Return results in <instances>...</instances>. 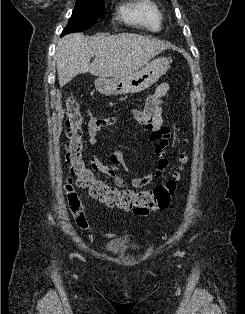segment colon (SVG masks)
I'll return each instance as SVG.
<instances>
[{
  "mask_svg": "<svg viewBox=\"0 0 245 314\" xmlns=\"http://www.w3.org/2000/svg\"><path fill=\"white\" fill-rule=\"evenodd\" d=\"M66 115L68 137L66 161L70 165V172L76 177V180L73 183L69 179L65 186V192L70 211L78 227L87 229L88 220L84 212V199L76 190V187L88 189L92 197L108 206L134 209V211L143 214L166 208L169 205L172 196L176 192L182 167L167 182L151 190L134 191L111 186L96 178L94 171L87 166L84 160L82 142L84 115L80 103L72 97H69L66 101ZM98 124L99 122H97ZM180 160L183 166L187 162V157L183 155Z\"/></svg>",
  "mask_w": 245,
  "mask_h": 314,
  "instance_id": "colon-1",
  "label": "colon"
}]
</instances>
